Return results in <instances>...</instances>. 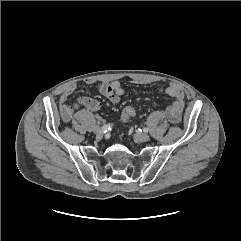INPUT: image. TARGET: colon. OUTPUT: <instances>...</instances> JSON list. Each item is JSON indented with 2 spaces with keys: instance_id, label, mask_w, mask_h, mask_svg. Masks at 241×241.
<instances>
[{
  "instance_id": "5ec220e1",
  "label": "colon",
  "mask_w": 241,
  "mask_h": 241,
  "mask_svg": "<svg viewBox=\"0 0 241 241\" xmlns=\"http://www.w3.org/2000/svg\"><path fill=\"white\" fill-rule=\"evenodd\" d=\"M136 115V109L133 106H127L122 111V121L128 122Z\"/></svg>"
}]
</instances>
